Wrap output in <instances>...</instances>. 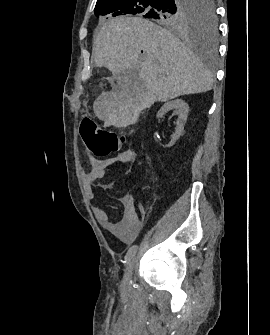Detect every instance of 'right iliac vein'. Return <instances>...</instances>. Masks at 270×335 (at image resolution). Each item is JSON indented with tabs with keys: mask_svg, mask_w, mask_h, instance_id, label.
<instances>
[{
	"mask_svg": "<svg viewBox=\"0 0 270 335\" xmlns=\"http://www.w3.org/2000/svg\"><path fill=\"white\" fill-rule=\"evenodd\" d=\"M134 265H135V256H133L128 262L126 273L124 275L123 282H122L123 287H126L129 284V281H130V278L132 276V272L134 269Z\"/></svg>",
	"mask_w": 270,
	"mask_h": 335,
	"instance_id": "right-iliac-vein-1",
	"label": "right iliac vein"
}]
</instances>
